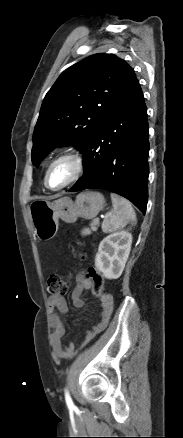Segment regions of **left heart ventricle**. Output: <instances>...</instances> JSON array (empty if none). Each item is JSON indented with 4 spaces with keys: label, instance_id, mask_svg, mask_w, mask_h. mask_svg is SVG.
I'll list each match as a JSON object with an SVG mask.
<instances>
[{
    "label": "left heart ventricle",
    "instance_id": "1",
    "mask_svg": "<svg viewBox=\"0 0 183 438\" xmlns=\"http://www.w3.org/2000/svg\"><path fill=\"white\" fill-rule=\"evenodd\" d=\"M74 167L71 161L62 160L52 166L48 174V184L59 187L66 183L73 175Z\"/></svg>",
    "mask_w": 183,
    "mask_h": 438
}]
</instances>
